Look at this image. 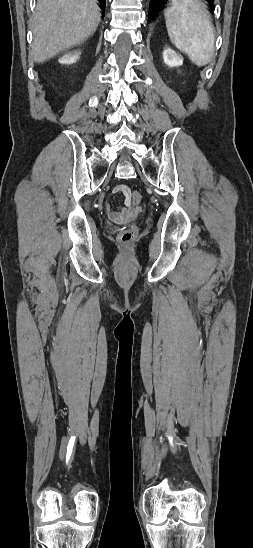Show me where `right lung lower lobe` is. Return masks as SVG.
I'll return each mask as SVG.
<instances>
[{
    "label": "right lung lower lobe",
    "mask_w": 253,
    "mask_h": 548,
    "mask_svg": "<svg viewBox=\"0 0 253 548\" xmlns=\"http://www.w3.org/2000/svg\"><path fill=\"white\" fill-rule=\"evenodd\" d=\"M102 4V8L105 9V3H106V0H99Z\"/></svg>",
    "instance_id": "right-lung-lower-lobe-1"
}]
</instances>
